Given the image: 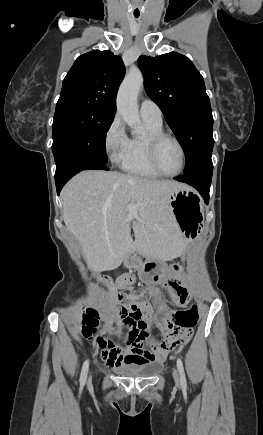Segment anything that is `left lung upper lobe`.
<instances>
[{
    "label": "left lung upper lobe",
    "mask_w": 263,
    "mask_h": 435,
    "mask_svg": "<svg viewBox=\"0 0 263 435\" xmlns=\"http://www.w3.org/2000/svg\"><path fill=\"white\" fill-rule=\"evenodd\" d=\"M148 96L159 106L182 145L185 171L210 158L213 116L204 79L189 58L176 52L140 56Z\"/></svg>",
    "instance_id": "1"
}]
</instances>
